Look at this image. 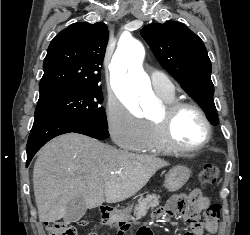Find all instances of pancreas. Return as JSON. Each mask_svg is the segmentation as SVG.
<instances>
[{"mask_svg": "<svg viewBox=\"0 0 250 235\" xmlns=\"http://www.w3.org/2000/svg\"><path fill=\"white\" fill-rule=\"evenodd\" d=\"M159 198L156 194H149L146 198H140L138 200V205L135 207L134 215L136 219L131 217V220H137L143 217L150 208H155L159 205Z\"/></svg>", "mask_w": 250, "mask_h": 235, "instance_id": "cf45deb5", "label": "pancreas"}]
</instances>
